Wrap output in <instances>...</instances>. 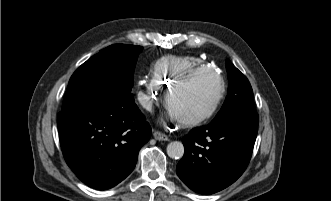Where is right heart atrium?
<instances>
[{
  "instance_id": "d8ad5b80",
  "label": "right heart atrium",
  "mask_w": 331,
  "mask_h": 201,
  "mask_svg": "<svg viewBox=\"0 0 331 201\" xmlns=\"http://www.w3.org/2000/svg\"><path fill=\"white\" fill-rule=\"evenodd\" d=\"M160 95V88L149 79L142 81L141 88L137 91L139 104L147 111H151Z\"/></svg>"
}]
</instances>
